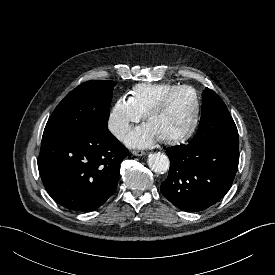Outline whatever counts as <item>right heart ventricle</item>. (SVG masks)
<instances>
[{
	"label": "right heart ventricle",
	"mask_w": 275,
	"mask_h": 275,
	"mask_svg": "<svg viewBox=\"0 0 275 275\" xmlns=\"http://www.w3.org/2000/svg\"><path fill=\"white\" fill-rule=\"evenodd\" d=\"M177 85L170 83H141L130 91L129 99L136 110L145 115L147 111L161 98L163 94Z\"/></svg>",
	"instance_id": "1"
}]
</instances>
